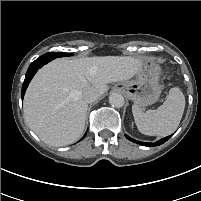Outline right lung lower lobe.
<instances>
[{
    "label": "right lung lower lobe",
    "mask_w": 201,
    "mask_h": 201,
    "mask_svg": "<svg viewBox=\"0 0 201 201\" xmlns=\"http://www.w3.org/2000/svg\"><path fill=\"white\" fill-rule=\"evenodd\" d=\"M55 59L54 56H47L44 54L43 56L36 59L34 62H32L27 70L26 77L22 86V98L24 97L25 91L28 87L29 82L33 78L34 74L37 72L39 68H41L44 64L50 62L51 60ZM86 135V134H85ZM85 135L82 137V139L85 137ZM81 139V140H82Z\"/></svg>",
    "instance_id": "right-lung-lower-lobe-1"
}]
</instances>
